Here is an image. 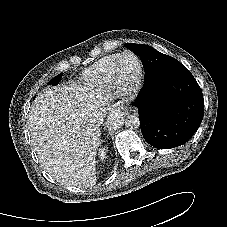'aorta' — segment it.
<instances>
[{"label":"aorta","mask_w":227,"mask_h":227,"mask_svg":"<svg viewBox=\"0 0 227 227\" xmlns=\"http://www.w3.org/2000/svg\"><path fill=\"white\" fill-rule=\"evenodd\" d=\"M107 122L113 129H117L123 124L129 129H137L140 126V121L137 115L134 114L124 117L123 114L117 110L110 112Z\"/></svg>","instance_id":"aorta-1"}]
</instances>
